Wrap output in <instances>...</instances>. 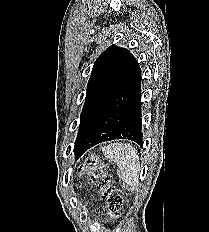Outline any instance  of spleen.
<instances>
[{
    "mask_svg": "<svg viewBox=\"0 0 209 232\" xmlns=\"http://www.w3.org/2000/svg\"><path fill=\"white\" fill-rule=\"evenodd\" d=\"M102 151L119 168V177L126 184L128 191H135L140 174L137 150L126 143H113L103 147Z\"/></svg>",
    "mask_w": 209,
    "mask_h": 232,
    "instance_id": "3e777b00",
    "label": "spleen"
}]
</instances>
